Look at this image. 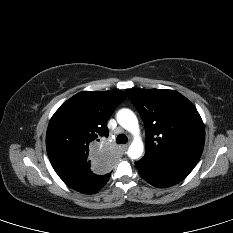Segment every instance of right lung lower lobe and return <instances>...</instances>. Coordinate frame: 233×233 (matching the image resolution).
Listing matches in <instances>:
<instances>
[{
    "label": "right lung lower lobe",
    "mask_w": 233,
    "mask_h": 233,
    "mask_svg": "<svg viewBox=\"0 0 233 233\" xmlns=\"http://www.w3.org/2000/svg\"><path fill=\"white\" fill-rule=\"evenodd\" d=\"M111 173L96 174L93 169L87 172L60 176L72 189L81 193H95L108 181Z\"/></svg>",
    "instance_id": "obj_1"
}]
</instances>
